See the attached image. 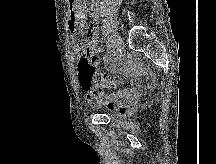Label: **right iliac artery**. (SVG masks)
Wrapping results in <instances>:
<instances>
[{"label":"right iliac artery","mask_w":216,"mask_h":164,"mask_svg":"<svg viewBox=\"0 0 216 164\" xmlns=\"http://www.w3.org/2000/svg\"><path fill=\"white\" fill-rule=\"evenodd\" d=\"M107 48L110 50V53L113 51L114 49V45H113V42L112 40L108 39L107 41Z\"/></svg>","instance_id":"obj_1"}]
</instances>
